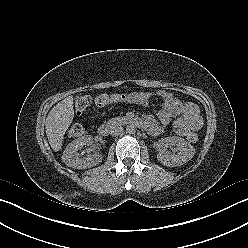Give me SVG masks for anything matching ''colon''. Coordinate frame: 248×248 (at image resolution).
<instances>
[{
    "mask_svg": "<svg viewBox=\"0 0 248 248\" xmlns=\"http://www.w3.org/2000/svg\"><path fill=\"white\" fill-rule=\"evenodd\" d=\"M123 99H124L123 94H112V95L103 94V95H99L95 99V103L98 106H104V105H107L110 103L122 101ZM90 104H91V98L89 96H87V95L79 96L75 100L76 113L79 115L83 114L88 109ZM84 133H85V130H84L83 126L80 124H74L68 130V136L71 138L82 137L84 135ZM197 140H198V135L196 133H192L188 137V141L191 143H195Z\"/></svg>",
    "mask_w": 248,
    "mask_h": 248,
    "instance_id": "obj_1",
    "label": "colon"
}]
</instances>
